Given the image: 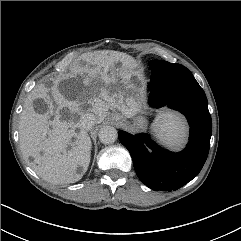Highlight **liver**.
Wrapping results in <instances>:
<instances>
[{"label": "liver", "mask_w": 241, "mask_h": 241, "mask_svg": "<svg viewBox=\"0 0 241 241\" xmlns=\"http://www.w3.org/2000/svg\"><path fill=\"white\" fill-rule=\"evenodd\" d=\"M89 64L92 66H74L70 73L55 79L51 88L44 85L35 88L26 100L21 114V150L27 158H33V170L55 184L77 182L88 169L92 143L86 130L79 125L82 115L92 112L96 116V122L101 123L110 107L121 111L127 118L135 116L141 108L137 95H128L125 90L109 94L117 77L129 80L134 74L135 61L131 56L116 51H101L90 56ZM118 64L120 67L115 72ZM83 73L86 75L83 79L86 90L75 99H68L61 92L60 84H75L77 76ZM49 91L57 104L53 120H50V113H38L33 106L34 100L42 99L50 107L52 102ZM64 107L70 113L67 120H63L60 114ZM72 138L75 140L72 141Z\"/></svg>", "instance_id": "obj_1"}]
</instances>
